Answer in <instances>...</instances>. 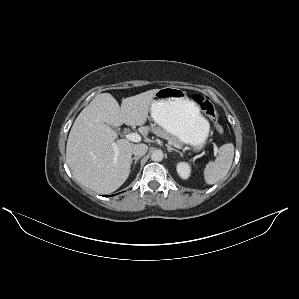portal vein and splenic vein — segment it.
Masks as SVG:
<instances>
[{
  "label": "portal vein and splenic vein",
  "instance_id": "obj_1",
  "mask_svg": "<svg viewBox=\"0 0 299 299\" xmlns=\"http://www.w3.org/2000/svg\"><path fill=\"white\" fill-rule=\"evenodd\" d=\"M126 139L129 140V141H133V142H140L141 141V136L137 133H129L126 135ZM176 148H180V146L178 145H174ZM114 150H115V153L117 154L118 153V149L116 147V145L114 146ZM217 150L218 148L215 146L214 148V156L217 155Z\"/></svg>",
  "mask_w": 299,
  "mask_h": 299
}]
</instances>
